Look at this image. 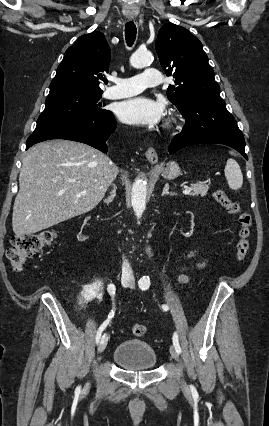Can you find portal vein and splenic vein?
<instances>
[{"label": "portal vein and splenic vein", "instance_id": "1", "mask_svg": "<svg viewBox=\"0 0 269 426\" xmlns=\"http://www.w3.org/2000/svg\"><path fill=\"white\" fill-rule=\"evenodd\" d=\"M191 192V189L190 188H187V189H185L184 191H183V193L184 194H189ZM86 194V192L85 191H83V192H81L80 193V195L79 196H81V195H85Z\"/></svg>", "mask_w": 269, "mask_h": 426}]
</instances>
